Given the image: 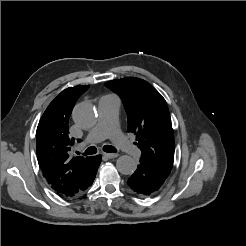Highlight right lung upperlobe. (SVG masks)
I'll return each mask as SVG.
<instances>
[{
  "instance_id": "right-lung-upper-lobe-1",
  "label": "right lung upper lobe",
  "mask_w": 246,
  "mask_h": 246,
  "mask_svg": "<svg viewBox=\"0 0 246 246\" xmlns=\"http://www.w3.org/2000/svg\"><path fill=\"white\" fill-rule=\"evenodd\" d=\"M89 88L70 87L57 95L42 115L36 131V150L43 176L63 197H73L92 169L93 157L72 156L74 138L68 123L78 98Z\"/></svg>"
}]
</instances>
